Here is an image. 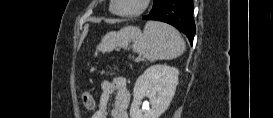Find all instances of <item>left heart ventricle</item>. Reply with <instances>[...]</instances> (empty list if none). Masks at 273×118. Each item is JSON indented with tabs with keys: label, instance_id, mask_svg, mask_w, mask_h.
<instances>
[{
	"label": "left heart ventricle",
	"instance_id": "left-heart-ventricle-1",
	"mask_svg": "<svg viewBox=\"0 0 273 118\" xmlns=\"http://www.w3.org/2000/svg\"><path fill=\"white\" fill-rule=\"evenodd\" d=\"M142 0H118L117 10L121 12H131L140 8Z\"/></svg>",
	"mask_w": 273,
	"mask_h": 118
}]
</instances>
